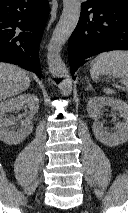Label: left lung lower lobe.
Masks as SVG:
<instances>
[{
  "label": "left lung lower lobe",
  "instance_id": "obj_1",
  "mask_svg": "<svg viewBox=\"0 0 128 213\" xmlns=\"http://www.w3.org/2000/svg\"><path fill=\"white\" fill-rule=\"evenodd\" d=\"M111 50H128V0H87L69 39L72 76L86 58Z\"/></svg>",
  "mask_w": 128,
  "mask_h": 213
}]
</instances>
